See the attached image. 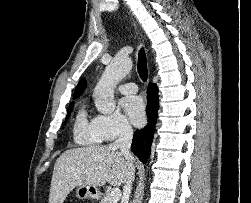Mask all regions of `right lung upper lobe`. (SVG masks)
Wrapping results in <instances>:
<instances>
[{"label": "right lung upper lobe", "mask_w": 251, "mask_h": 203, "mask_svg": "<svg viewBox=\"0 0 251 203\" xmlns=\"http://www.w3.org/2000/svg\"><path fill=\"white\" fill-rule=\"evenodd\" d=\"M85 88H86V80L83 78L79 81V83L75 89L73 99L78 98L84 92Z\"/></svg>", "instance_id": "obj_1"}]
</instances>
